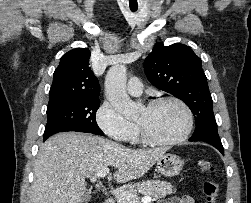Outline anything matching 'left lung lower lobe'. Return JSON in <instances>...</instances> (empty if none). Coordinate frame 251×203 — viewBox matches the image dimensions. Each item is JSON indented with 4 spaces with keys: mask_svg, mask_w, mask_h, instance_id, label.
Listing matches in <instances>:
<instances>
[{
    "mask_svg": "<svg viewBox=\"0 0 251 203\" xmlns=\"http://www.w3.org/2000/svg\"><path fill=\"white\" fill-rule=\"evenodd\" d=\"M189 141H197V140L189 139ZM199 141H203V142H207V143L211 144L212 146H214L215 148H217L224 155V149H223V146H222L221 142H219V141H211V140H199Z\"/></svg>",
    "mask_w": 251,
    "mask_h": 203,
    "instance_id": "0a47b994",
    "label": "left lung lower lobe"
}]
</instances>
